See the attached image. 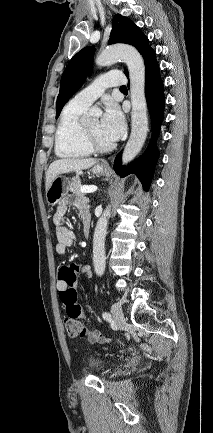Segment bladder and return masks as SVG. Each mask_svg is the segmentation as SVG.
Returning a JSON list of instances; mask_svg holds the SVG:
<instances>
[{
	"label": "bladder",
	"mask_w": 213,
	"mask_h": 433,
	"mask_svg": "<svg viewBox=\"0 0 213 433\" xmlns=\"http://www.w3.org/2000/svg\"><path fill=\"white\" fill-rule=\"evenodd\" d=\"M87 366L89 369L96 370L102 367V361L95 356H90L87 360Z\"/></svg>",
	"instance_id": "1"
}]
</instances>
